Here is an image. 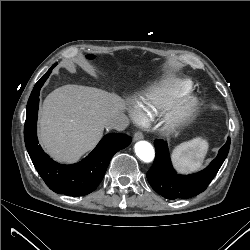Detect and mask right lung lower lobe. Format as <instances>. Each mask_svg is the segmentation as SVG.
<instances>
[{
	"label": "right lung lower lobe",
	"mask_w": 250,
	"mask_h": 250,
	"mask_svg": "<svg viewBox=\"0 0 250 250\" xmlns=\"http://www.w3.org/2000/svg\"><path fill=\"white\" fill-rule=\"evenodd\" d=\"M55 65L36 83L29 97L24 127L25 144L37 172L51 190L73 197L83 196L97 188L111 158L131 143V137L120 133L107 134L85 159L72 165L59 164L45 154L37 139L39 93Z\"/></svg>",
	"instance_id": "right-lung-lower-lobe-1"
}]
</instances>
